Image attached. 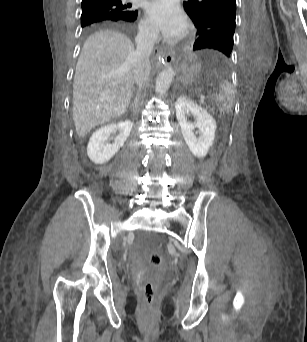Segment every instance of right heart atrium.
Returning <instances> with one entry per match:
<instances>
[{
    "label": "right heart atrium",
    "mask_w": 307,
    "mask_h": 342,
    "mask_svg": "<svg viewBox=\"0 0 307 342\" xmlns=\"http://www.w3.org/2000/svg\"><path fill=\"white\" fill-rule=\"evenodd\" d=\"M141 32L144 33V34H148L150 33V29L148 28V26L146 24H143L142 27H141Z\"/></svg>",
    "instance_id": "1"
}]
</instances>
